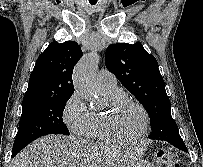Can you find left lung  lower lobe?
Instances as JSON below:
<instances>
[{
  "mask_svg": "<svg viewBox=\"0 0 203 167\" xmlns=\"http://www.w3.org/2000/svg\"><path fill=\"white\" fill-rule=\"evenodd\" d=\"M164 141H167L168 143L172 144L173 146H175L176 148L182 150L183 151H187V148L184 144V142L182 141L181 137L176 136V135H169L167 136Z\"/></svg>",
  "mask_w": 203,
  "mask_h": 167,
  "instance_id": "obj_1",
  "label": "left lung lower lobe"
}]
</instances>
